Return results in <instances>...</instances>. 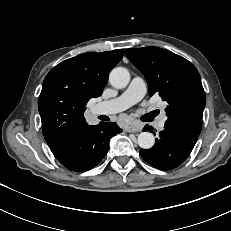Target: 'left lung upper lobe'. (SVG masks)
<instances>
[{"label": "left lung upper lobe", "mask_w": 231, "mask_h": 231, "mask_svg": "<svg viewBox=\"0 0 231 231\" xmlns=\"http://www.w3.org/2000/svg\"><path fill=\"white\" fill-rule=\"evenodd\" d=\"M125 54L144 74L149 94L158 93L168 103L166 123L198 137L206 99L196 67L185 58L158 47L128 49Z\"/></svg>", "instance_id": "1"}]
</instances>
